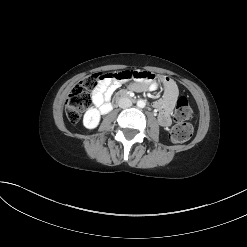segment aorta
Masks as SVG:
<instances>
[{
  "label": "aorta",
  "mask_w": 247,
  "mask_h": 247,
  "mask_svg": "<svg viewBox=\"0 0 247 247\" xmlns=\"http://www.w3.org/2000/svg\"><path fill=\"white\" fill-rule=\"evenodd\" d=\"M145 106H146V101L145 100L140 99V100L137 101V107L138 108H144Z\"/></svg>",
  "instance_id": "762f6f07"
}]
</instances>
